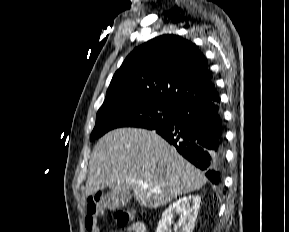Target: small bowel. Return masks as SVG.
I'll use <instances>...</instances> for the list:
<instances>
[{"label": "small bowel", "instance_id": "1", "mask_svg": "<svg viewBox=\"0 0 289 232\" xmlns=\"http://www.w3.org/2000/svg\"><path fill=\"white\" fill-rule=\"evenodd\" d=\"M120 232H147L145 224L141 222H134L128 226H126L122 231Z\"/></svg>", "mask_w": 289, "mask_h": 232}]
</instances>
